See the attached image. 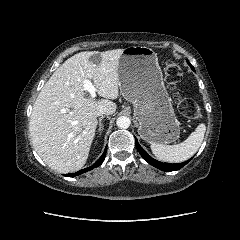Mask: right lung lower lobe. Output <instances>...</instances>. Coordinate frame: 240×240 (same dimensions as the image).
Instances as JSON below:
<instances>
[{
	"label": "right lung lower lobe",
	"instance_id": "98d812e1",
	"mask_svg": "<svg viewBox=\"0 0 240 240\" xmlns=\"http://www.w3.org/2000/svg\"><path fill=\"white\" fill-rule=\"evenodd\" d=\"M106 151H107V148H105V151L103 152V154L101 155V157L90 167H87L85 169H82L76 173H70V174H67L68 177H74L75 175H80L84 172H87L88 170H91L93 168H96L98 166H100L102 164V162L104 161L105 159V156H106Z\"/></svg>",
	"mask_w": 240,
	"mask_h": 240
}]
</instances>
